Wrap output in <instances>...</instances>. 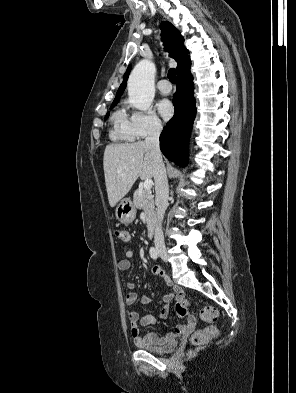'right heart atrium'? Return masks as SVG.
<instances>
[{
    "label": "right heart atrium",
    "mask_w": 296,
    "mask_h": 393,
    "mask_svg": "<svg viewBox=\"0 0 296 393\" xmlns=\"http://www.w3.org/2000/svg\"><path fill=\"white\" fill-rule=\"evenodd\" d=\"M131 126L137 139L158 135L163 129V124L155 112L135 111L130 117Z\"/></svg>",
    "instance_id": "right-heart-atrium-1"
}]
</instances>
